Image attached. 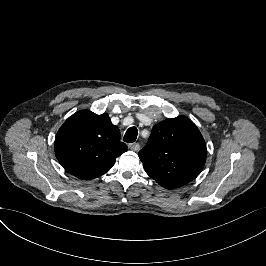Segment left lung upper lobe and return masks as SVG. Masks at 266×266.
Segmentation results:
<instances>
[{
    "mask_svg": "<svg viewBox=\"0 0 266 266\" xmlns=\"http://www.w3.org/2000/svg\"><path fill=\"white\" fill-rule=\"evenodd\" d=\"M138 155L146 173L161 186L172 189L199 175L207 148L195 124L185 116H178L155 125Z\"/></svg>",
    "mask_w": 266,
    "mask_h": 266,
    "instance_id": "1",
    "label": "left lung upper lobe"
}]
</instances>
